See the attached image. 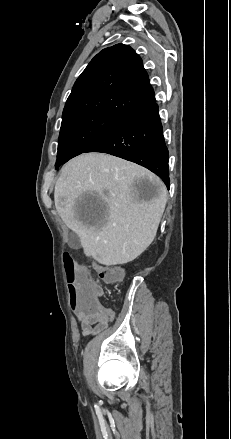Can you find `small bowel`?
I'll return each instance as SVG.
<instances>
[{
	"label": "small bowel",
	"instance_id": "c3829d8e",
	"mask_svg": "<svg viewBox=\"0 0 231 439\" xmlns=\"http://www.w3.org/2000/svg\"><path fill=\"white\" fill-rule=\"evenodd\" d=\"M105 317L103 319L94 318V320H85L84 313H75L81 327V332L83 335H94L102 331L107 323L113 319L114 311L110 308L103 307Z\"/></svg>",
	"mask_w": 231,
	"mask_h": 439
}]
</instances>
